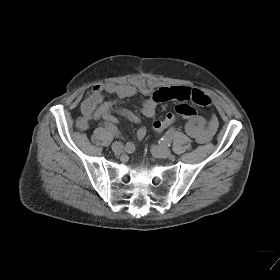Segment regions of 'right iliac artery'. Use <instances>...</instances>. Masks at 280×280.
<instances>
[{
    "label": "right iliac artery",
    "instance_id": "right-iliac-artery-1",
    "mask_svg": "<svg viewBox=\"0 0 280 280\" xmlns=\"http://www.w3.org/2000/svg\"><path fill=\"white\" fill-rule=\"evenodd\" d=\"M105 128L114 136L118 137L119 136V131L117 129V127L109 122H105ZM135 150V145L132 142H128L125 145V151L127 153H133Z\"/></svg>",
    "mask_w": 280,
    "mask_h": 280
}]
</instances>
